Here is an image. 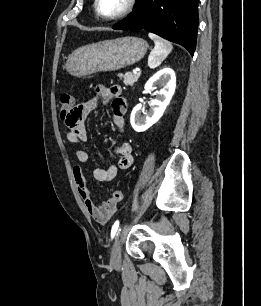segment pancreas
<instances>
[{"label": "pancreas", "mask_w": 261, "mask_h": 306, "mask_svg": "<svg viewBox=\"0 0 261 306\" xmlns=\"http://www.w3.org/2000/svg\"><path fill=\"white\" fill-rule=\"evenodd\" d=\"M141 73H136V74H132V73H125V74H118V77L120 79H123V82L125 85H129V86H133L135 82L138 81L139 77H140Z\"/></svg>", "instance_id": "1"}]
</instances>
